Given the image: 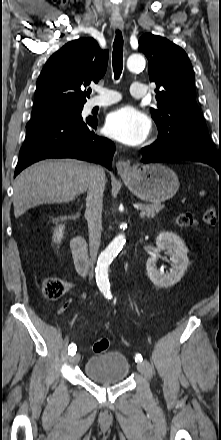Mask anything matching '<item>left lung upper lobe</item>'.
I'll return each instance as SVG.
<instances>
[{"label":"left lung upper lobe","instance_id":"left-lung-upper-lobe-1","mask_svg":"<svg viewBox=\"0 0 221 440\" xmlns=\"http://www.w3.org/2000/svg\"><path fill=\"white\" fill-rule=\"evenodd\" d=\"M139 51L148 59L150 81L156 83L157 108H151L163 139H194L216 148L195 99L194 72L185 51L166 38L146 33Z\"/></svg>","mask_w":221,"mask_h":440}]
</instances>
